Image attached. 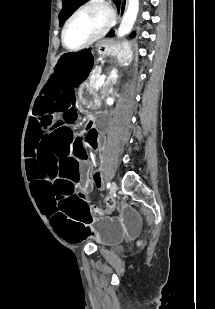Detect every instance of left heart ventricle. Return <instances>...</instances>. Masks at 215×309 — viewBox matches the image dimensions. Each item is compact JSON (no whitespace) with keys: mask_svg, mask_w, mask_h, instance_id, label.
<instances>
[{"mask_svg":"<svg viewBox=\"0 0 215 309\" xmlns=\"http://www.w3.org/2000/svg\"><path fill=\"white\" fill-rule=\"evenodd\" d=\"M103 20V15L98 12H86L78 16L70 25L66 42L70 46H76L93 34L94 29H99Z\"/></svg>","mask_w":215,"mask_h":309,"instance_id":"1","label":"left heart ventricle"}]
</instances>
